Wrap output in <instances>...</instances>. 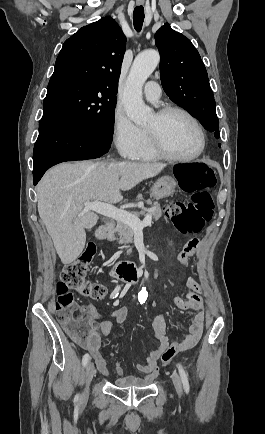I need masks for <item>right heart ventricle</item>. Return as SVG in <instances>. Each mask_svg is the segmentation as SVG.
Wrapping results in <instances>:
<instances>
[{
    "instance_id": "e07e8e85",
    "label": "right heart ventricle",
    "mask_w": 265,
    "mask_h": 434,
    "mask_svg": "<svg viewBox=\"0 0 265 434\" xmlns=\"http://www.w3.org/2000/svg\"><path fill=\"white\" fill-rule=\"evenodd\" d=\"M144 141L140 148H138L137 154H132L130 159L136 161H157L160 160L161 157L156 153L153 148L152 140L147 128H143Z\"/></svg>"
}]
</instances>
